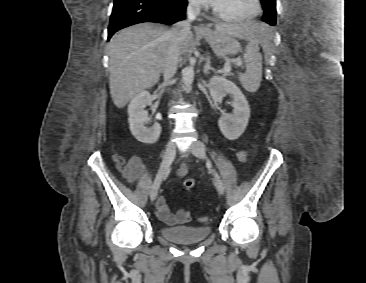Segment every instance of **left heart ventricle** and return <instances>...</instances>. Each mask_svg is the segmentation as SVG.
I'll use <instances>...</instances> for the list:
<instances>
[{
    "label": "left heart ventricle",
    "instance_id": "left-heart-ventricle-1",
    "mask_svg": "<svg viewBox=\"0 0 366 283\" xmlns=\"http://www.w3.org/2000/svg\"><path fill=\"white\" fill-rule=\"evenodd\" d=\"M215 7L228 15H247L253 11V0H217Z\"/></svg>",
    "mask_w": 366,
    "mask_h": 283
}]
</instances>
